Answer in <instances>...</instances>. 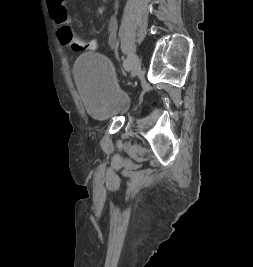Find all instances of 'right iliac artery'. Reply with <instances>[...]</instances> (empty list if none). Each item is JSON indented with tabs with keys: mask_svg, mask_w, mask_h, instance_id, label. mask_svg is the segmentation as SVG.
Segmentation results:
<instances>
[{
	"mask_svg": "<svg viewBox=\"0 0 253 267\" xmlns=\"http://www.w3.org/2000/svg\"><path fill=\"white\" fill-rule=\"evenodd\" d=\"M123 66H124V68H125L127 71H129V70L131 69V65H130V60H129V58L124 59V61H123Z\"/></svg>",
	"mask_w": 253,
	"mask_h": 267,
	"instance_id": "right-iliac-artery-1",
	"label": "right iliac artery"
}]
</instances>
